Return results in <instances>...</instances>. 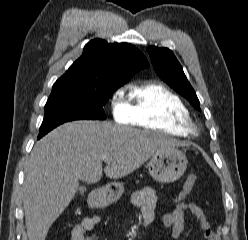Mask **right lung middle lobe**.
<instances>
[{"label":"right lung middle lobe","instance_id":"dd1d6c3e","mask_svg":"<svg viewBox=\"0 0 248 240\" xmlns=\"http://www.w3.org/2000/svg\"><path fill=\"white\" fill-rule=\"evenodd\" d=\"M117 88H64L52 90L45 105L40 132L81 119H106L103 106Z\"/></svg>","mask_w":248,"mask_h":240}]
</instances>
